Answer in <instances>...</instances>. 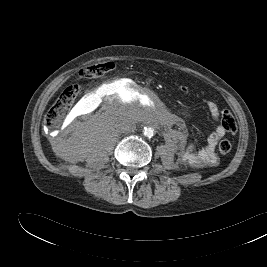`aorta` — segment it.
Listing matches in <instances>:
<instances>
[{"label": "aorta", "instance_id": "obj_1", "mask_svg": "<svg viewBox=\"0 0 267 267\" xmlns=\"http://www.w3.org/2000/svg\"><path fill=\"white\" fill-rule=\"evenodd\" d=\"M143 134L145 137L151 138L154 135V130L151 127H145L143 129Z\"/></svg>", "mask_w": 267, "mask_h": 267}]
</instances>
